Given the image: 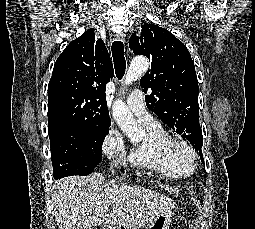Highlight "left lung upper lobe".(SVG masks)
<instances>
[{
	"label": "left lung upper lobe",
	"instance_id": "1",
	"mask_svg": "<svg viewBox=\"0 0 255 229\" xmlns=\"http://www.w3.org/2000/svg\"><path fill=\"white\" fill-rule=\"evenodd\" d=\"M129 46L135 55H145L151 69L140 85L146 106L176 133L199 150L203 161V136L199 123L198 81L194 62L186 46L168 30L154 24L141 26Z\"/></svg>",
	"mask_w": 255,
	"mask_h": 229
}]
</instances>
